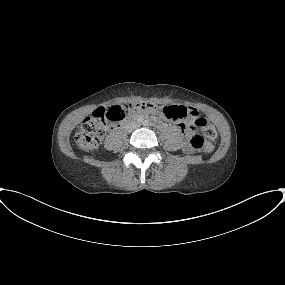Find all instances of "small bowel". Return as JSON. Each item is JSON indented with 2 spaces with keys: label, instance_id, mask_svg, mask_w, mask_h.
Returning <instances> with one entry per match:
<instances>
[{
  "label": "small bowel",
  "instance_id": "c3829d8e",
  "mask_svg": "<svg viewBox=\"0 0 285 285\" xmlns=\"http://www.w3.org/2000/svg\"><path fill=\"white\" fill-rule=\"evenodd\" d=\"M188 111H189V115L187 117L188 122L195 123L201 117L199 112L193 107H189Z\"/></svg>",
  "mask_w": 285,
  "mask_h": 285
}]
</instances>
